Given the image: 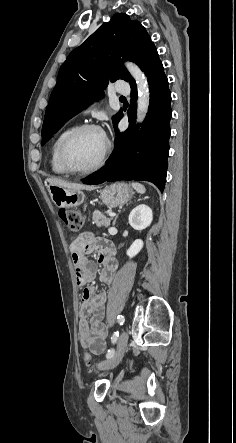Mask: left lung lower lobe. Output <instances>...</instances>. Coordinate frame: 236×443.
I'll list each match as a JSON object with an SVG mask.
<instances>
[{
	"label": "left lung lower lobe",
	"instance_id": "1",
	"mask_svg": "<svg viewBox=\"0 0 236 443\" xmlns=\"http://www.w3.org/2000/svg\"><path fill=\"white\" fill-rule=\"evenodd\" d=\"M142 70L147 76L150 88V105L144 123L136 126L137 88L134 80L131 86V105L127 111L129 128L119 133L118 122L114 124L116 147L101 170L89 175L84 184H100L105 181L144 180L164 190L170 137L171 95L163 65L155 47L150 51ZM140 128V129H139Z\"/></svg>",
	"mask_w": 236,
	"mask_h": 443
}]
</instances>
